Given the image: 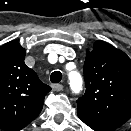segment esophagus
Here are the masks:
<instances>
[{
	"label": "esophagus",
	"instance_id": "obj_1",
	"mask_svg": "<svg viewBox=\"0 0 131 131\" xmlns=\"http://www.w3.org/2000/svg\"><path fill=\"white\" fill-rule=\"evenodd\" d=\"M52 89H53L54 91L59 92V91H61V90L63 89V85H62V84H53V85H52Z\"/></svg>",
	"mask_w": 131,
	"mask_h": 131
}]
</instances>
